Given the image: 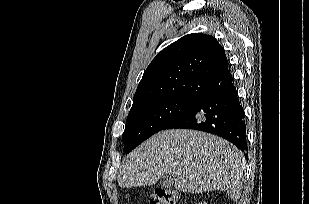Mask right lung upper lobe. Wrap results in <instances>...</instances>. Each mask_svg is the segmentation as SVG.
I'll list each match as a JSON object with an SVG mask.
<instances>
[{
	"label": "right lung upper lobe",
	"instance_id": "obj_1",
	"mask_svg": "<svg viewBox=\"0 0 309 204\" xmlns=\"http://www.w3.org/2000/svg\"><path fill=\"white\" fill-rule=\"evenodd\" d=\"M233 78L223 47L209 35H186L163 49L147 67L133 105L157 98L201 100Z\"/></svg>",
	"mask_w": 309,
	"mask_h": 204
}]
</instances>
